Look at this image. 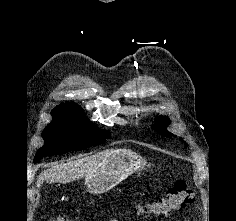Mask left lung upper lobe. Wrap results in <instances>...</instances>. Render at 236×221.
I'll return each mask as SVG.
<instances>
[{
	"label": "left lung upper lobe",
	"mask_w": 236,
	"mask_h": 221,
	"mask_svg": "<svg viewBox=\"0 0 236 221\" xmlns=\"http://www.w3.org/2000/svg\"><path fill=\"white\" fill-rule=\"evenodd\" d=\"M169 123H170L169 119L160 116L156 119V124L152 126V128H156L157 132L160 133L161 135H164L165 137H170L172 136V134L168 133L167 131L161 128L163 126H167ZM180 140L183 141L182 138H180Z\"/></svg>",
	"instance_id": "1"
}]
</instances>
